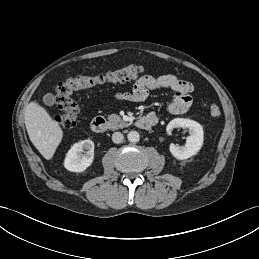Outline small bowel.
Returning <instances> with one entry per match:
<instances>
[{
    "label": "small bowel",
    "mask_w": 259,
    "mask_h": 259,
    "mask_svg": "<svg viewBox=\"0 0 259 259\" xmlns=\"http://www.w3.org/2000/svg\"><path fill=\"white\" fill-rule=\"evenodd\" d=\"M158 89H170L174 92V99L169 104L168 109L172 114L185 113L192 105L193 85L175 75L166 74L161 76L145 75L140 77L134 84L130 92L116 94L118 100L141 103L145 101L149 93ZM148 116L157 115L151 112Z\"/></svg>",
    "instance_id": "small-bowel-1"
}]
</instances>
